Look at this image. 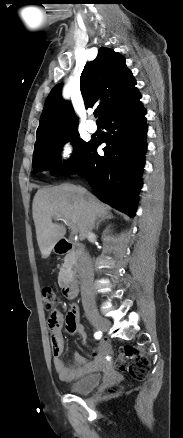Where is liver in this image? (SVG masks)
Instances as JSON below:
<instances>
[{
  "label": "liver",
  "mask_w": 183,
  "mask_h": 438,
  "mask_svg": "<svg viewBox=\"0 0 183 438\" xmlns=\"http://www.w3.org/2000/svg\"><path fill=\"white\" fill-rule=\"evenodd\" d=\"M32 212L38 246L44 259L66 233L63 225L52 222L53 217L63 218L84 239L96 219L107 213L96 196L71 184L39 189L33 199Z\"/></svg>",
  "instance_id": "1"
}]
</instances>
